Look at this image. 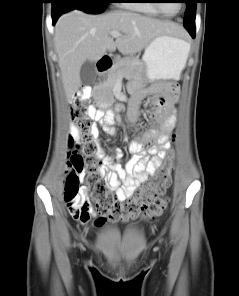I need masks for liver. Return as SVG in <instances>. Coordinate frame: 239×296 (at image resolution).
I'll return each instance as SVG.
<instances>
[{"label":"liver","mask_w":239,"mask_h":296,"mask_svg":"<svg viewBox=\"0 0 239 296\" xmlns=\"http://www.w3.org/2000/svg\"><path fill=\"white\" fill-rule=\"evenodd\" d=\"M111 31L123 33L114 41ZM182 35V28L139 13L114 11L91 15L80 10L63 14L55 25L54 44L67 100H71L82 83L80 69L87 60L95 62L116 48L124 55L142 51L160 35Z\"/></svg>","instance_id":"liver-1"}]
</instances>
